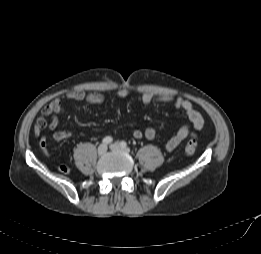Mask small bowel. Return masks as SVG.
<instances>
[{
    "label": "small bowel",
    "instance_id": "obj_1",
    "mask_svg": "<svg viewBox=\"0 0 261 254\" xmlns=\"http://www.w3.org/2000/svg\"><path fill=\"white\" fill-rule=\"evenodd\" d=\"M128 95L129 92L126 89H120L117 91V96L119 98H126ZM66 100L86 101L90 104L98 105L104 102V96L100 93H86L82 90H74L54 98L43 107L41 114L34 125L33 133L36 137L40 138L41 149L47 158H50V153L47 147L46 138L41 135L44 128L48 127L52 132L53 139L56 141L66 140L72 136V133L69 130H58L59 115L64 112L63 102ZM140 100L145 105H150L154 102L171 104L185 112L188 118V123L181 126L176 134L166 142L165 148L167 151L175 150L184 139L188 136H195V133L201 130L204 126V118L202 114L197 111L193 104L188 100L166 93H154L151 91L143 92L140 95ZM133 136L136 139L145 137L146 139L151 140L155 138L156 130L152 127H149L144 131L135 130Z\"/></svg>",
    "mask_w": 261,
    "mask_h": 254
}]
</instances>
